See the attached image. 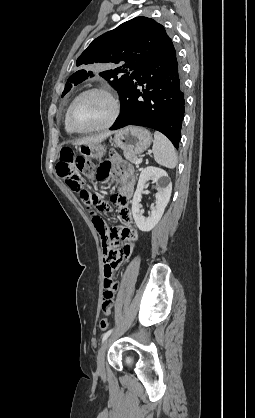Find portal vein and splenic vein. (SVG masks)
<instances>
[{
	"instance_id": "18ae733b",
	"label": "portal vein and splenic vein",
	"mask_w": 255,
	"mask_h": 418,
	"mask_svg": "<svg viewBox=\"0 0 255 418\" xmlns=\"http://www.w3.org/2000/svg\"><path fill=\"white\" fill-rule=\"evenodd\" d=\"M142 162V159L141 158H139V159H137L134 163L136 164V165H138V164H140Z\"/></svg>"
}]
</instances>
